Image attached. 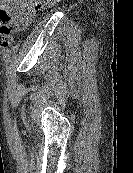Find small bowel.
Listing matches in <instances>:
<instances>
[{
  "label": "small bowel",
  "mask_w": 133,
  "mask_h": 173,
  "mask_svg": "<svg viewBox=\"0 0 133 173\" xmlns=\"http://www.w3.org/2000/svg\"><path fill=\"white\" fill-rule=\"evenodd\" d=\"M29 3V0H0V8L9 9L13 13L17 29H23L33 19Z\"/></svg>",
  "instance_id": "c3829d8e"
}]
</instances>
